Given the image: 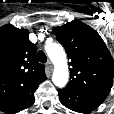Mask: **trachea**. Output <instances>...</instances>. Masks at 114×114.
<instances>
[{
    "instance_id": "1",
    "label": "trachea",
    "mask_w": 114,
    "mask_h": 114,
    "mask_svg": "<svg viewBox=\"0 0 114 114\" xmlns=\"http://www.w3.org/2000/svg\"><path fill=\"white\" fill-rule=\"evenodd\" d=\"M37 58L40 62L42 63H45L47 61V57H46V54L44 53V51L40 50L38 53H37Z\"/></svg>"
}]
</instances>
